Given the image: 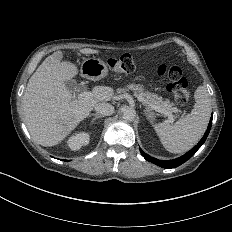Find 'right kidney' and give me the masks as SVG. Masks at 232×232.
<instances>
[{
    "mask_svg": "<svg viewBox=\"0 0 232 232\" xmlns=\"http://www.w3.org/2000/svg\"><path fill=\"white\" fill-rule=\"evenodd\" d=\"M89 141H90L89 134L85 132H80V133H76L75 135H72L71 137H69L67 141V145L72 151H77L82 146L87 145Z\"/></svg>",
    "mask_w": 232,
    "mask_h": 232,
    "instance_id": "obj_1",
    "label": "right kidney"
}]
</instances>
